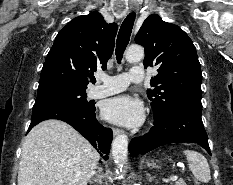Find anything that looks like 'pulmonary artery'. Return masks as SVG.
<instances>
[{
	"instance_id": "pulmonary-artery-1",
	"label": "pulmonary artery",
	"mask_w": 233,
	"mask_h": 185,
	"mask_svg": "<svg viewBox=\"0 0 233 185\" xmlns=\"http://www.w3.org/2000/svg\"><path fill=\"white\" fill-rule=\"evenodd\" d=\"M145 78L144 70L141 67H132L127 73L116 76H108L98 73L99 84L93 87L91 93L93 97L109 96L127 88L130 82H142Z\"/></svg>"
}]
</instances>
